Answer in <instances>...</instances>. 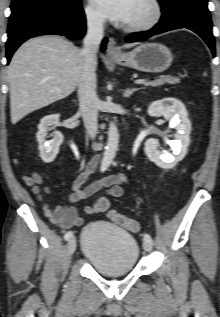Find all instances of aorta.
I'll list each match as a JSON object with an SVG mask.
<instances>
[{"mask_svg":"<svg viewBox=\"0 0 220 317\" xmlns=\"http://www.w3.org/2000/svg\"><path fill=\"white\" fill-rule=\"evenodd\" d=\"M119 143V133L117 126L114 122H110L108 128V140L105 146V151L103 154V159L101 162V169L106 170L112 163L116 152L118 150Z\"/></svg>","mask_w":220,"mask_h":317,"instance_id":"aorta-1","label":"aorta"}]
</instances>
